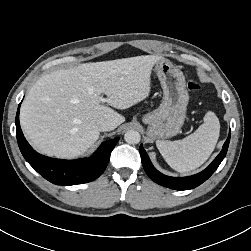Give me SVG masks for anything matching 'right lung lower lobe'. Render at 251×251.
<instances>
[{
	"label": "right lung lower lobe",
	"mask_w": 251,
	"mask_h": 251,
	"mask_svg": "<svg viewBox=\"0 0 251 251\" xmlns=\"http://www.w3.org/2000/svg\"><path fill=\"white\" fill-rule=\"evenodd\" d=\"M19 109L16 114V135L25 160L45 179L56 185H76L98 178L108 165L110 154L119 141H106L90 157L78 160L53 159L37 153L26 141L19 124Z\"/></svg>",
	"instance_id": "98d812e1"
}]
</instances>
